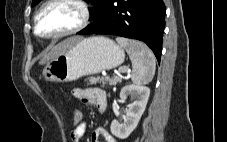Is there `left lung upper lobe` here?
Returning a JSON list of instances; mask_svg holds the SVG:
<instances>
[{
  "label": "left lung upper lobe",
  "mask_w": 227,
  "mask_h": 142,
  "mask_svg": "<svg viewBox=\"0 0 227 142\" xmlns=\"http://www.w3.org/2000/svg\"><path fill=\"white\" fill-rule=\"evenodd\" d=\"M40 1L41 0H33L32 6L36 5ZM86 1L90 2L94 6V8L89 9L91 18H95L97 16V14L100 12V10L102 9V7L107 2V0H86Z\"/></svg>",
  "instance_id": "left-lung-upper-lobe-1"
}]
</instances>
